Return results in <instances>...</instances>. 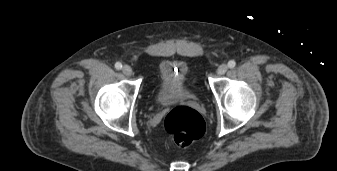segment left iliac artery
<instances>
[{
	"instance_id": "left-iliac-artery-1",
	"label": "left iliac artery",
	"mask_w": 337,
	"mask_h": 171,
	"mask_svg": "<svg viewBox=\"0 0 337 171\" xmlns=\"http://www.w3.org/2000/svg\"><path fill=\"white\" fill-rule=\"evenodd\" d=\"M236 66V62L234 61V60H230L229 62H228V67L229 68H234Z\"/></svg>"
}]
</instances>
